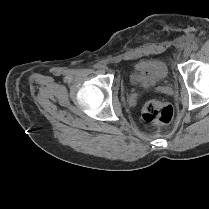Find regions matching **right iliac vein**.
Masks as SVG:
<instances>
[{
  "mask_svg": "<svg viewBox=\"0 0 209 209\" xmlns=\"http://www.w3.org/2000/svg\"><path fill=\"white\" fill-rule=\"evenodd\" d=\"M101 68H102L103 71L107 70L106 66H102Z\"/></svg>",
  "mask_w": 209,
  "mask_h": 209,
  "instance_id": "1",
  "label": "right iliac vein"
}]
</instances>
